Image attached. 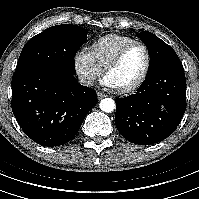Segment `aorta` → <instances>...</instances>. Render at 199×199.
<instances>
[{
    "label": "aorta",
    "instance_id": "762f6f07",
    "mask_svg": "<svg viewBox=\"0 0 199 199\" xmlns=\"http://www.w3.org/2000/svg\"><path fill=\"white\" fill-rule=\"evenodd\" d=\"M100 109L106 113L112 112L115 109V101L111 98H104L100 102Z\"/></svg>",
    "mask_w": 199,
    "mask_h": 199
}]
</instances>
